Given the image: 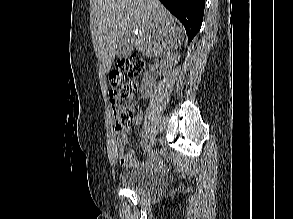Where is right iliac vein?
Masks as SVG:
<instances>
[{
	"mask_svg": "<svg viewBox=\"0 0 293 219\" xmlns=\"http://www.w3.org/2000/svg\"><path fill=\"white\" fill-rule=\"evenodd\" d=\"M155 144V139L151 138L144 147V151H150Z\"/></svg>",
	"mask_w": 293,
	"mask_h": 219,
	"instance_id": "right-iliac-vein-1",
	"label": "right iliac vein"
}]
</instances>
